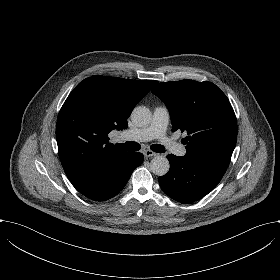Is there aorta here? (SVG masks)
I'll return each mask as SVG.
<instances>
[{"label": "aorta", "mask_w": 280, "mask_h": 280, "mask_svg": "<svg viewBox=\"0 0 280 280\" xmlns=\"http://www.w3.org/2000/svg\"><path fill=\"white\" fill-rule=\"evenodd\" d=\"M152 119L151 111L144 107H135L131 113V120L137 127H146ZM170 168L169 161L164 156H156L151 160L150 170L157 176L165 175Z\"/></svg>", "instance_id": "1"}]
</instances>
